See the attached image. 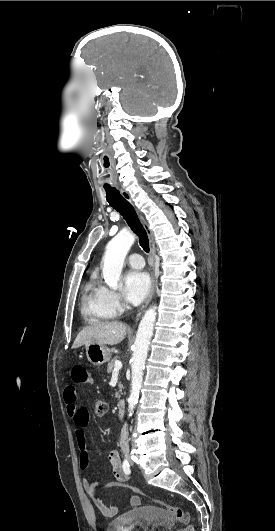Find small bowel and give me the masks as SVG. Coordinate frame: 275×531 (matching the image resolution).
Here are the masks:
<instances>
[{
  "label": "small bowel",
  "mask_w": 275,
  "mask_h": 531,
  "mask_svg": "<svg viewBox=\"0 0 275 531\" xmlns=\"http://www.w3.org/2000/svg\"><path fill=\"white\" fill-rule=\"evenodd\" d=\"M68 370L72 374L73 382L92 383L94 376L88 374V371L84 367L75 368L73 365L68 367ZM64 400L66 403V409L68 415L72 418L76 428L75 436L80 448L79 466L82 470L89 468L91 464V450L87 446L85 431L89 423V413L86 408L79 407L77 404V393L74 387H67L64 391ZM108 462L111 466L113 478L129 480V474L125 470L120 453L116 450L110 452L108 456ZM84 488L92 493V502L98 509L101 515L105 518H112L116 516L120 511L126 510L130 507H138L141 505V499L138 496H132L129 502L122 507L107 505L102 499L93 494L94 483L88 479H83Z\"/></svg>",
  "instance_id": "small-bowel-1"
}]
</instances>
